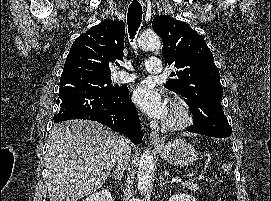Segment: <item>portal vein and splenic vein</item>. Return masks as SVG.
<instances>
[{
  "instance_id": "18ae733b",
  "label": "portal vein and splenic vein",
  "mask_w": 271,
  "mask_h": 201,
  "mask_svg": "<svg viewBox=\"0 0 271 201\" xmlns=\"http://www.w3.org/2000/svg\"><path fill=\"white\" fill-rule=\"evenodd\" d=\"M182 179L180 177H176L172 179V182H181Z\"/></svg>"
}]
</instances>
